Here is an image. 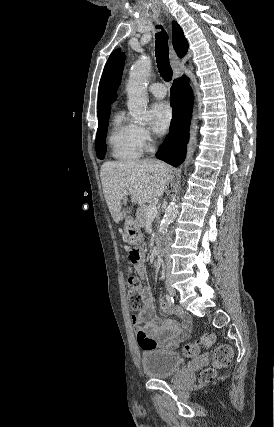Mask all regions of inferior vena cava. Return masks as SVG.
Listing matches in <instances>:
<instances>
[{
    "label": "inferior vena cava",
    "mask_w": 274,
    "mask_h": 427,
    "mask_svg": "<svg viewBox=\"0 0 274 427\" xmlns=\"http://www.w3.org/2000/svg\"><path fill=\"white\" fill-rule=\"evenodd\" d=\"M172 243L171 233H167L165 239V263L166 267H171V257H169V249Z\"/></svg>",
    "instance_id": "inferior-vena-cava-1"
}]
</instances>
